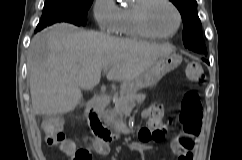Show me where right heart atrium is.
<instances>
[{
    "label": "right heart atrium",
    "mask_w": 242,
    "mask_h": 160,
    "mask_svg": "<svg viewBox=\"0 0 242 160\" xmlns=\"http://www.w3.org/2000/svg\"><path fill=\"white\" fill-rule=\"evenodd\" d=\"M119 8L114 0H94L93 16L98 27L106 33H115Z\"/></svg>",
    "instance_id": "1"
}]
</instances>
